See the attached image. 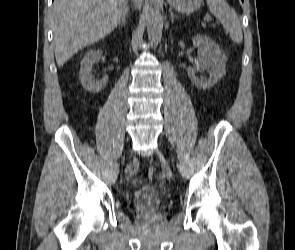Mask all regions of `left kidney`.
<instances>
[{"label":"left kidney","mask_w":295,"mask_h":250,"mask_svg":"<svg viewBox=\"0 0 295 250\" xmlns=\"http://www.w3.org/2000/svg\"><path fill=\"white\" fill-rule=\"evenodd\" d=\"M193 45L198 48V64L195 68H187L191 82L203 89L213 87L223 76L226 66V56L216 43L205 35L197 34L192 38ZM208 69V79L199 78L196 72Z\"/></svg>","instance_id":"obj_1"}]
</instances>
